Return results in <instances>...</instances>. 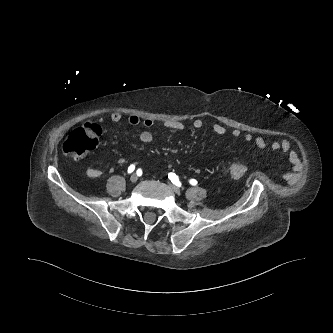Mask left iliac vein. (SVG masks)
Instances as JSON below:
<instances>
[{
    "instance_id": "left-iliac-vein-1",
    "label": "left iliac vein",
    "mask_w": 333,
    "mask_h": 333,
    "mask_svg": "<svg viewBox=\"0 0 333 333\" xmlns=\"http://www.w3.org/2000/svg\"><path fill=\"white\" fill-rule=\"evenodd\" d=\"M169 187L171 188V190L176 193V194H180L181 193V190L179 187L173 185V184H169Z\"/></svg>"
}]
</instances>
